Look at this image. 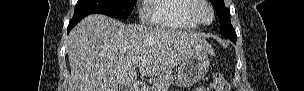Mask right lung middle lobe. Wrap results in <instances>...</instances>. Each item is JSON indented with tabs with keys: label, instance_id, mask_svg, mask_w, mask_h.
<instances>
[{
	"label": "right lung middle lobe",
	"instance_id": "right-lung-middle-lobe-1",
	"mask_svg": "<svg viewBox=\"0 0 304 91\" xmlns=\"http://www.w3.org/2000/svg\"><path fill=\"white\" fill-rule=\"evenodd\" d=\"M136 0H78L74 15L104 14L112 18H126Z\"/></svg>",
	"mask_w": 304,
	"mask_h": 91
}]
</instances>
